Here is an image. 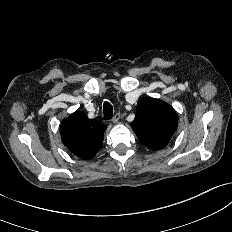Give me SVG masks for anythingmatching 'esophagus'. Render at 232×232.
<instances>
[{"label":"esophagus","mask_w":232,"mask_h":232,"mask_svg":"<svg viewBox=\"0 0 232 232\" xmlns=\"http://www.w3.org/2000/svg\"><path fill=\"white\" fill-rule=\"evenodd\" d=\"M120 119V113H116L114 117L112 118L113 123H117Z\"/></svg>","instance_id":"34e87169"}]
</instances>
